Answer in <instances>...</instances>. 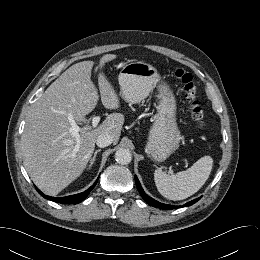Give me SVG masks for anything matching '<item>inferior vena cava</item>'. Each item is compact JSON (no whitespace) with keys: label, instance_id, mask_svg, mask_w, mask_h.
Listing matches in <instances>:
<instances>
[{"label":"inferior vena cava","instance_id":"obj_1","mask_svg":"<svg viewBox=\"0 0 260 260\" xmlns=\"http://www.w3.org/2000/svg\"><path fill=\"white\" fill-rule=\"evenodd\" d=\"M113 137L108 133L100 134L96 139V144L98 147L104 148L112 144Z\"/></svg>","mask_w":260,"mask_h":260}]
</instances>
